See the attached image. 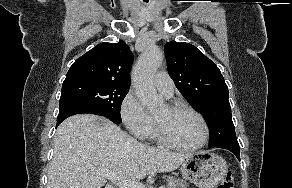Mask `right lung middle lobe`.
<instances>
[{"label":"right lung middle lobe","instance_id":"dd1d6c3e","mask_svg":"<svg viewBox=\"0 0 292 188\" xmlns=\"http://www.w3.org/2000/svg\"><path fill=\"white\" fill-rule=\"evenodd\" d=\"M128 91L129 86L93 79L65 80L60 97V108L80 106L122 122L120 108Z\"/></svg>","mask_w":292,"mask_h":188}]
</instances>
